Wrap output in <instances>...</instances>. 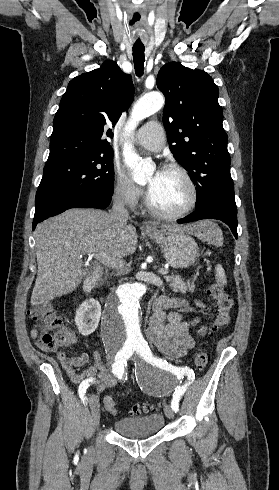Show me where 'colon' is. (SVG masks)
Returning a JSON list of instances; mask_svg holds the SVG:
<instances>
[{
  "label": "colon",
  "instance_id": "colon-1",
  "mask_svg": "<svg viewBox=\"0 0 279 490\" xmlns=\"http://www.w3.org/2000/svg\"><path fill=\"white\" fill-rule=\"evenodd\" d=\"M207 294L216 301L217 312L214 319L213 331L227 326L230 323L233 302L229 294L224 290L222 284L212 281L207 286ZM30 317L38 322L37 331L40 339L39 347L45 350L68 349V341L72 340L73 330L66 329L59 321V317L53 307L49 304L34 306L29 310ZM209 356L206 351H198L194 357L197 369H204L208 364ZM104 409L115 415L117 408L110 396L104 399ZM154 408L150 403L135 404L132 407L133 415L149 413Z\"/></svg>",
  "mask_w": 279,
  "mask_h": 490
}]
</instances>
